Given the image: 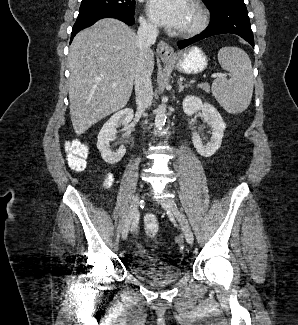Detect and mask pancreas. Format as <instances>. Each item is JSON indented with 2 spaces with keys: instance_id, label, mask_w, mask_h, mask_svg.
<instances>
[{
  "instance_id": "obj_1",
  "label": "pancreas",
  "mask_w": 298,
  "mask_h": 325,
  "mask_svg": "<svg viewBox=\"0 0 298 325\" xmlns=\"http://www.w3.org/2000/svg\"><path fill=\"white\" fill-rule=\"evenodd\" d=\"M199 88H202V90H205V92H211L209 82H202V84H199Z\"/></svg>"
}]
</instances>
